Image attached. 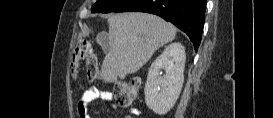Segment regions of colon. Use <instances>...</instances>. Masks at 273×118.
<instances>
[{"mask_svg":"<svg viewBox=\"0 0 273 118\" xmlns=\"http://www.w3.org/2000/svg\"><path fill=\"white\" fill-rule=\"evenodd\" d=\"M85 60L86 76L90 81L100 79V70L97 58L94 55L91 43L88 40H81L77 43L71 61V73L77 76L79 60ZM137 82L119 81L114 85L115 98L121 106H130L137 97Z\"/></svg>","mask_w":273,"mask_h":118,"instance_id":"1","label":"colon"}]
</instances>
